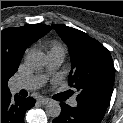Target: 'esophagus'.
Listing matches in <instances>:
<instances>
[{
	"instance_id": "obj_1",
	"label": "esophagus",
	"mask_w": 123,
	"mask_h": 123,
	"mask_svg": "<svg viewBox=\"0 0 123 123\" xmlns=\"http://www.w3.org/2000/svg\"><path fill=\"white\" fill-rule=\"evenodd\" d=\"M38 102H40L43 105H46L50 102V100L48 98H40Z\"/></svg>"
}]
</instances>
